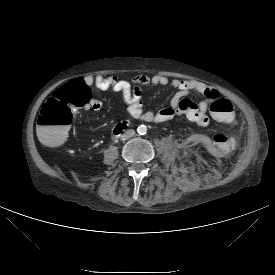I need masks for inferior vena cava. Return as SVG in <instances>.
<instances>
[{
    "label": "inferior vena cava",
    "instance_id": "1",
    "mask_svg": "<svg viewBox=\"0 0 275 275\" xmlns=\"http://www.w3.org/2000/svg\"><path fill=\"white\" fill-rule=\"evenodd\" d=\"M134 134H135V131L133 129H129V130L125 131V133H123L121 135V139L122 140H127V139L133 137Z\"/></svg>",
    "mask_w": 275,
    "mask_h": 275
}]
</instances>
